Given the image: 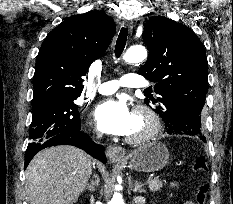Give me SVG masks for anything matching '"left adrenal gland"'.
I'll list each match as a JSON object with an SVG mask.
<instances>
[{
    "instance_id": "a2214340",
    "label": "left adrenal gland",
    "mask_w": 233,
    "mask_h": 204,
    "mask_svg": "<svg viewBox=\"0 0 233 204\" xmlns=\"http://www.w3.org/2000/svg\"><path fill=\"white\" fill-rule=\"evenodd\" d=\"M129 185L133 192L145 193V190L142 188L144 184H142L141 182L135 181L133 183V181L129 179Z\"/></svg>"
}]
</instances>
